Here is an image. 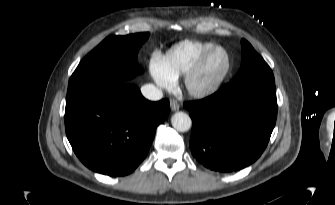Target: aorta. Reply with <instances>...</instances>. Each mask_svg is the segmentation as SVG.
Returning a JSON list of instances; mask_svg holds the SVG:
<instances>
[{"label":"aorta","mask_w":335,"mask_h":205,"mask_svg":"<svg viewBox=\"0 0 335 205\" xmlns=\"http://www.w3.org/2000/svg\"><path fill=\"white\" fill-rule=\"evenodd\" d=\"M171 123L174 129L179 132H186L192 126L190 116L184 112H176L171 118Z\"/></svg>","instance_id":"762f6f07"}]
</instances>
